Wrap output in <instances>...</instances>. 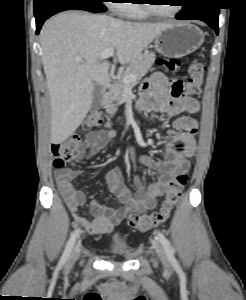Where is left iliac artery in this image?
I'll use <instances>...</instances> for the list:
<instances>
[{"instance_id":"obj_1","label":"left iliac artery","mask_w":246,"mask_h":300,"mask_svg":"<svg viewBox=\"0 0 246 300\" xmlns=\"http://www.w3.org/2000/svg\"><path fill=\"white\" fill-rule=\"evenodd\" d=\"M157 235H158V238L168 256V259L170 260V262L173 264V265H176L177 264V260L174 256V251L171 247V244L170 242L168 241V239L165 237L164 234H162L160 231L157 232Z\"/></svg>"}]
</instances>
